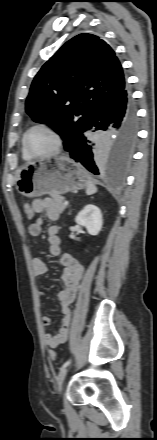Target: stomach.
<instances>
[{
    "instance_id": "1",
    "label": "stomach",
    "mask_w": 157,
    "mask_h": 440,
    "mask_svg": "<svg viewBox=\"0 0 157 440\" xmlns=\"http://www.w3.org/2000/svg\"><path fill=\"white\" fill-rule=\"evenodd\" d=\"M88 174L66 156L29 162L20 170L16 189L25 197L61 195L87 186Z\"/></svg>"
}]
</instances>
